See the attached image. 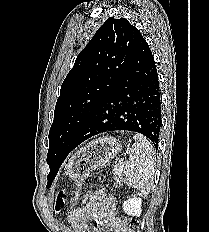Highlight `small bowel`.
I'll use <instances>...</instances> for the list:
<instances>
[{
  "mask_svg": "<svg viewBox=\"0 0 209 232\" xmlns=\"http://www.w3.org/2000/svg\"><path fill=\"white\" fill-rule=\"evenodd\" d=\"M114 210L115 200L104 190L89 191L82 204L69 212L68 220L75 232H129L126 223L114 217ZM89 220L95 221L96 226L88 228Z\"/></svg>",
  "mask_w": 209,
  "mask_h": 232,
  "instance_id": "1",
  "label": "small bowel"
}]
</instances>
